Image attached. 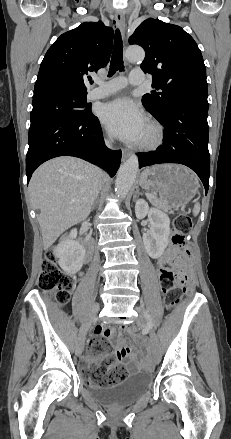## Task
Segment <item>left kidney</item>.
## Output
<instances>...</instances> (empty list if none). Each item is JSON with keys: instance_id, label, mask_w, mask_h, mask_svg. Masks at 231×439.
<instances>
[{"instance_id": "1", "label": "left kidney", "mask_w": 231, "mask_h": 439, "mask_svg": "<svg viewBox=\"0 0 231 439\" xmlns=\"http://www.w3.org/2000/svg\"><path fill=\"white\" fill-rule=\"evenodd\" d=\"M135 214L138 219H143L148 215L150 230L143 234V243L151 258L161 257L169 243L170 219L168 215L156 208H149L148 203L143 199L136 201Z\"/></svg>"}]
</instances>
